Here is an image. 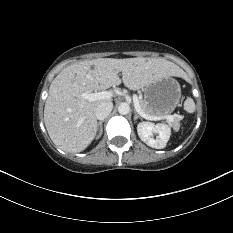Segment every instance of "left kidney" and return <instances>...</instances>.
Listing matches in <instances>:
<instances>
[{"instance_id": "left-kidney-1", "label": "left kidney", "mask_w": 233, "mask_h": 233, "mask_svg": "<svg viewBox=\"0 0 233 233\" xmlns=\"http://www.w3.org/2000/svg\"><path fill=\"white\" fill-rule=\"evenodd\" d=\"M137 133L140 139L148 146L155 149L165 148L170 135L171 129L165 124H153L151 122H140L137 125ZM158 134L156 139L153 138V134Z\"/></svg>"}]
</instances>
